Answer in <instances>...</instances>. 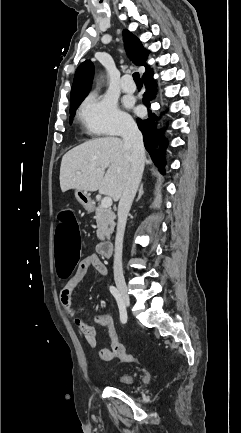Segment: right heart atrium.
Returning <instances> with one entry per match:
<instances>
[{"label": "right heart atrium", "mask_w": 241, "mask_h": 433, "mask_svg": "<svg viewBox=\"0 0 241 433\" xmlns=\"http://www.w3.org/2000/svg\"><path fill=\"white\" fill-rule=\"evenodd\" d=\"M79 119L90 135H118L133 129V120L108 96L90 94L80 105Z\"/></svg>", "instance_id": "1"}]
</instances>
